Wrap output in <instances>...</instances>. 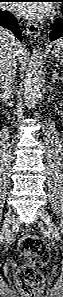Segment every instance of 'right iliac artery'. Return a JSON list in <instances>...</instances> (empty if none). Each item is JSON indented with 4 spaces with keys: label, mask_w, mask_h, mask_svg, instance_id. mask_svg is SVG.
<instances>
[{
    "label": "right iliac artery",
    "mask_w": 63,
    "mask_h": 297,
    "mask_svg": "<svg viewBox=\"0 0 63 297\" xmlns=\"http://www.w3.org/2000/svg\"><path fill=\"white\" fill-rule=\"evenodd\" d=\"M10 232H11V231H7V232H6V236H7V235H9V234H10ZM1 237H2V235H1Z\"/></svg>",
    "instance_id": "right-iliac-artery-1"
}]
</instances>
